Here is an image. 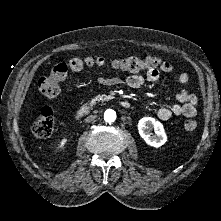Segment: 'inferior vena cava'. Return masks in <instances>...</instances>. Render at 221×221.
Wrapping results in <instances>:
<instances>
[{"label": "inferior vena cava", "mask_w": 221, "mask_h": 221, "mask_svg": "<svg viewBox=\"0 0 221 221\" xmlns=\"http://www.w3.org/2000/svg\"><path fill=\"white\" fill-rule=\"evenodd\" d=\"M96 118V115H89L88 117L85 118L86 123L92 122Z\"/></svg>", "instance_id": "obj_1"}]
</instances>
